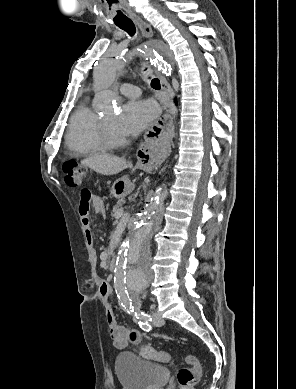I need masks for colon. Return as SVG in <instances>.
Here are the masks:
<instances>
[{
  "label": "colon",
  "mask_w": 296,
  "mask_h": 389,
  "mask_svg": "<svg viewBox=\"0 0 296 389\" xmlns=\"http://www.w3.org/2000/svg\"><path fill=\"white\" fill-rule=\"evenodd\" d=\"M63 173L65 183L72 188L79 187L85 178V169L75 161L65 163L63 165ZM140 354L147 360L161 363L170 361V355L166 351L156 350L150 346H144ZM185 362L189 367L179 369L177 380L180 389H194L201 374V363L194 355H187Z\"/></svg>",
  "instance_id": "obj_1"
}]
</instances>
